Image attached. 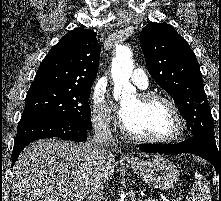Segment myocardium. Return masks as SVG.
Returning a JSON list of instances; mask_svg holds the SVG:
<instances>
[{
	"label": "myocardium",
	"mask_w": 221,
	"mask_h": 201,
	"mask_svg": "<svg viewBox=\"0 0 221 201\" xmlns=\"http://www.w3.org/2000/svg\"><path fill=\"white\" fill-rule=\"evenodd\" d=\"M137 99L141 102H148V101H153V100H159L165 103L172 114L174 115V118L176 120V131L173 135L169 137H164V138H158V137H149V136H144V135H139L131 131L124 123L123 119L120 121V129L121 131L128 136L131 139H134L136 141H142V142H148V143H158V144H167L174 142L178 140L181 135L183 134L184 131V122L183 118L175 105V103L168 98L167 96L156 93V92H144L140 93L137 96Z\"/></svg>",
	"instance_id": "myocardium-1"
}]
</instances>
